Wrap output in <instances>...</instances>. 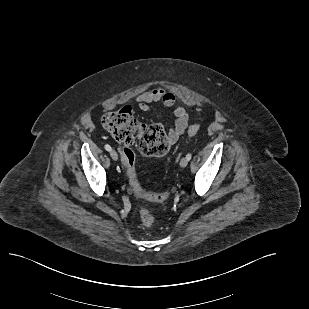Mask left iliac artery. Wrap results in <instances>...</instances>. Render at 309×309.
I'll return each instance as SVG.
<instances>
[{"instance_id": "1", "label": "left iliac artery", "mask_w": 309, "mask_h": 309, "mask_svg": "<svg viewBox=\"0 0 309 309\" xmlns=\"http://www.w3.org/2000/svg\"><path fill=\"white\" fill-rule=\"evenodd\" d=\"M191 157H192V155H191L190 153H188V154L186 155V158H187L188 161L191 159Z\"/></svg>"}]
</instances>
